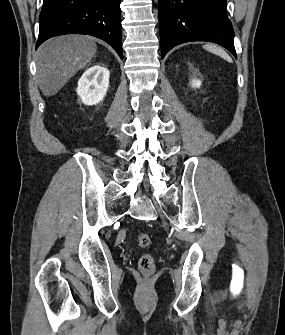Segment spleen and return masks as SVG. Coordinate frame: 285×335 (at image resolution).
<instances>
[{"mask_svg":"<svg viewBox=\"0 0 285 335\" xmlns=\"http://www.w3.org/2000/svg\"><path fill=\"white\" fill-rule=\"evenodd\" d=\"M204 50H207V52H211V54H217V56H220V58H223V60H227V62H232L230 56L222 50V48H217V46H211V44H206L204 46Z\"/></svg>","mask_w":285,"mask_h":335,"instance_id":"1","label":"spleen"}]
</instances>
